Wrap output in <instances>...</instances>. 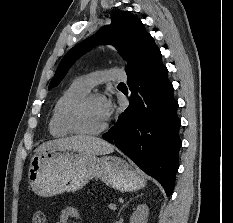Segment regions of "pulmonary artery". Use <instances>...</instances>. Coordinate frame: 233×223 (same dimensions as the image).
Masks as SVG:
<instances>
[{"label": "pulmonary artery", "instance_id": "pulmonary-artery-1", "mask_svg": "<svg viewBox=\"0 0 233 223\" xmlns=\"http://www.w3.org/2000/svg\"><path fill=\"white\" fill-rule=\"evenodd\" d=\"M126 74V70H98L79 77L78 81L87 91H90L105 81L123 79Z\"/></svg>", "mask_w": 233, "mask_h": 223}]
</instances>
